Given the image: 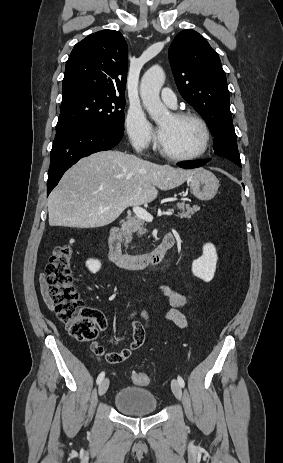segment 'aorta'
<instances>
[{
    "mask_svg": "<svg viewBox=\"0 0 283 463\" xmlns=\"http://www.w3.org/2000/svg\"><path fill=\"white\" fill-rule=\"evenodd\" d=\"M165 81V73L159 65L149 68L143 75L140 85V96L143 106L154 121H160L168 114L162 104L159 93Z\"/></svg>",
    "mask_w": 283,
    "mask_h": 463,
    "instance_id": "obj_1",
    "label": "aorta"
}]
</instances>
